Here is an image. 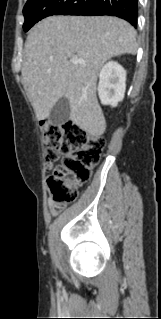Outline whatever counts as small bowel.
Wrapping results in <instances>:
<instances>
[{
  "label": "small bowel",
  "instance_id": "c3829d8e",
  "mask_svg": "<svg viewBox=\"0 0 161 319\" xmlns=\"http://www.w3.org/2000/svg\"><path fill=\"white\" fill-rule=\"evenodd\" d=\"M48 203H49V206H50L51 208L54 207V203L52 202V200H49Z\"/></svg>",
  "mask_w": 161,
  "mask_h": 319
}]
</instances>
